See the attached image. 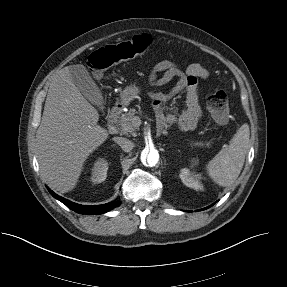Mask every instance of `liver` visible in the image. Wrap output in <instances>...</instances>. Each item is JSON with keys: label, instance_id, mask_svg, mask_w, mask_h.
<instances>
[{"label": "liver", "instance_id": "liver-1", "mask_svg": "<svg viewBox=\"0 0 287 287\" xmlns=\"http://www.w3.org/2000/svg\"><path fill=\"white\" fill-rule=\"evenodd\" d=\"M98 119V111L74 84L69 67L58 71L36 133L41 174L52 189L73 190L88 156L108 138Z\"/></svg>", "mask_w": 287, "mask_h": 287}]
</instances>
